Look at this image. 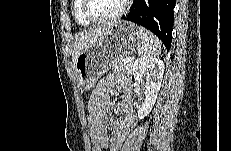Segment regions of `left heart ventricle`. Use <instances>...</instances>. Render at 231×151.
I'll return each mask as SVG.
<instances>
[{"mask_svg": "<svg viewBox=\"0 0 231 151\" xmlns=\"http://www.w3.org/2000/svg\"><path fill=\"white\" fill-rule=\"evenodd\" d=\"M124 0H89V12L96 18H103L117 13Z\"/></svg>", "mask_w": 231, "mask_h": 151, "instance_id": "b2bd125f", "label": "left heart ventricle"}]
</instances>
